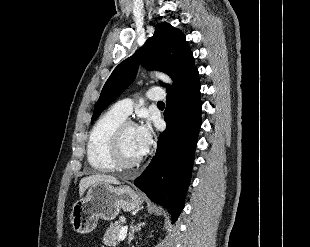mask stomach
Returning a JSON list of instances; mask_svg holds the SVG:
<instances>
[{"label":"stomach","mask_w":310,"mask_h":247,"mask_svg":"<svg viewBox=\"0 0 310 247\" xmlns=\"http://www.w3.org/2000/svg\"><path fill=\"white\" fill-rule=\"evenodd\" d=\"M142 203V197L129 186L113 187L96 183L88 188L85 197L73 204L70 223L75 232L89 233L96 228L99 218L114 220L120 210L129 212Z\"/></svg>","instance_id":"0dacf381"}]
</instances>
